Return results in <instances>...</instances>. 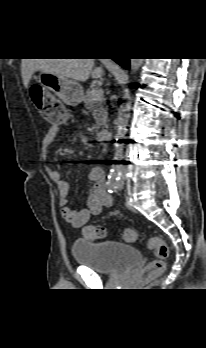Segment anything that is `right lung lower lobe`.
Instances as JSON below:
<instances>
[{
    "mask_svg": "<svg viewBox=\"0 0 206 348\" xmlns=\"http://www.w3.org/2000/svg\"><path fill=\"white\" fill-rule=\"evenodd\" d=\"M118 64H120L123 68L129 69L130 67V62L128 58H119V59H114Z\"/></svg>",
    "mask_w": 206,
    "mask_h": 348,
    "instance_id": "obj_1",
    "label": "right lung lower lobe"
}]
</instances>
